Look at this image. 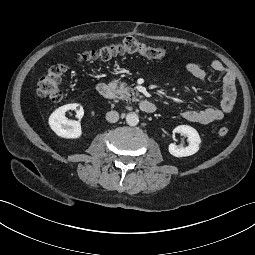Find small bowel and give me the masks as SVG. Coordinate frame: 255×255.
Returning a JSON list of instances; mask_svg holds the SVG:
<instances>
[{"instance_id":"1","label":"small bowel","mask_w":255,"mask_h":255,"mask_svg":"<svg viewBox=\"0 0 255 255\" xmlns=\"http://www.w3.org/2000/svg\"><path fill=\"white\" fill-rule=\"evenodd\" d=\"M211 68L223 74V93L219 107H208L200 110H185L180 114L181 116L190 121L199 124H210L220 121L225 115L231 113L234 109L236 99V77L222 62L214 60L211 63ZM185 70L197 78L199 81L205 83L208 74L199 64L189 62L185 65ZM177 72V71H176Z\"/></svg>"}]
</instances>
